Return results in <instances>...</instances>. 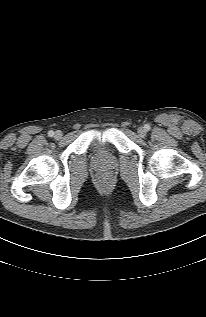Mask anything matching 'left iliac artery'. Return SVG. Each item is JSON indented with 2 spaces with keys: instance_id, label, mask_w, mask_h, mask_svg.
<instances>
[{
  "instance_id": "left-iliac-artery-1",
  "label": "left iliac artery",
  "mask_w": 206,
  "mask_h": 317,
  "mask_svg": "<svg viewBox=\"0 0 206 317\" xmlns=\"http://www.w3.org/2000/svg\"><path fill=\"white\" fill-rule=\"evenodd\" d=\"M147 131L150 130V125L149 124H146L145 127H144Z\"/></svg>"
}]
</instances>
